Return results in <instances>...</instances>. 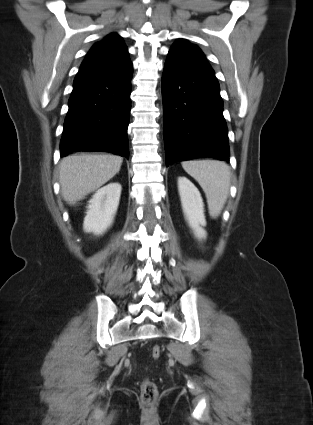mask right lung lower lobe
I'll list each match as a JSON object with an SVG mask.
<instances>
[{
    "mask_svg": "<svg viewBox=\"0 0 313 425\" xmlns=\"http://www.w3.org/2000/svg\"><path fill=\"white\" fill-rule=\"evenodd\" d=\"M130 60L83 61L73 83L61 138V157L102 151L129 157Z\"/></svg>",
    "mask_w": 313,
    "mask_h": 425,
    "instance_id": "1",
    "label": "right lung lower lobe"
}]
</instances>
